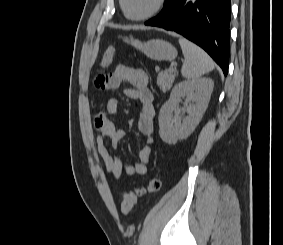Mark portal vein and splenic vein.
Segmentation results:
<instances>
[{
  "instance_id": "1",
  "label": "portal vein and splenic vein",
  "mask_w": 283,
  "mask_h": 245,
  "mask_svg": "<svg viewBox=\"0 0 283 245\" xmlns=\"http://www.w3.org/2000/svg\"><path fill=\"white\" fill-rule=\"evenodd\" d=\"M174 70H175V69H174L173 67H170V68H169V71H170V72H173Z\"/></svg>"
}]
</instances>
